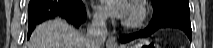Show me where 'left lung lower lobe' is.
<instances>
[{"mask_svg": "<svg viewBox=\"0 0 213 48\" xmlns=\"http://www.w3.org/2000/svg\"><path fill=\"white\" fill-rule=\"evenodd\" d=\"M165 27L179 28L184 31L191 40L190 12L179 8H164L159 12L153 13L152 20L147 28L134 34L122 35L120 36V41L127 43L137 38L148 37L156 30Z\"/></svg>", "mask_w": 213, "mask_h": 48, "instance_id": "obj_1", "label": "left lung lower lobe"}]
</instances>
